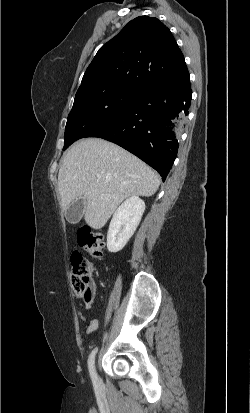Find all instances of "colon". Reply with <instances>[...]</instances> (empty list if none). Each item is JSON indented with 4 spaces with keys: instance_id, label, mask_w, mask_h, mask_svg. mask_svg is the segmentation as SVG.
Returning a JSON list of instances; mask_svg holds the SVG:
<instances>
[{
    "instance_id": "colon-1",
    "label": "colon",
    "mask_w": 250,
    "mask_h": 413,
    "mask_svg": "<svg viewBox=\"0 0 250 413\" xmlns=\"http://www.w3.org/2000/svg\"><path fill=\"white\" fill-rule=\"evenodd\" d=\"M78 244L83 247L93 259L103 256V236L88 226L81 227L77 232ZM72 286L77 297L86 304H91L95 295L94 275L95 265L79 252H74L71 257Z\"/></svg>"
}]
</instances>
